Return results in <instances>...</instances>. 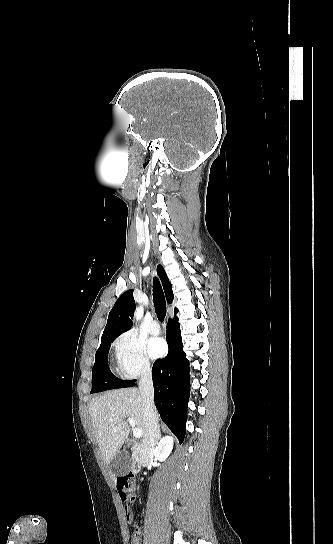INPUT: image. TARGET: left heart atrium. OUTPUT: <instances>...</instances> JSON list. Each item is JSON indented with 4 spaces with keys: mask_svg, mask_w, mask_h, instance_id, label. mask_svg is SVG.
Returning a JSON list of instances; mask_svg holds the SVG:
<instances>
[{
    "mask_svg": "<svg viewBox=\"0 0 333 544\" xmlns=\"http://www.w3.org/2000/svg\"><path fill=\"white\" fill-rule=\"evenodd\" d=\"M148 353L152 358L162 357L167 350L164 339L160 337L151 338L147 343Z\"/></svg>",
    "mask_w": 333,
    "mask_h": 544,
    "instance_id": "39dd6f15",
    "label": "left heart atrium"
}]
</instances>
